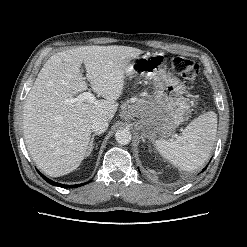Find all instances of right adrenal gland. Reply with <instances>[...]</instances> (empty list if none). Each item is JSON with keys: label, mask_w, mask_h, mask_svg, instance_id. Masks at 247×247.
<instances>
[{"label": "right adrenal gland", "mask_w": 247, "mask_h": 247, "mask_svg": "<svg viewBox=\"0 0 247 247\" xmlns=\"http://www.w3.org/2000/svg\"><path fill=\"white\" fill-rule=\"evenodd\" d=\"M100 134H98V133H94L93 135H92V138H91V141H90V143H89V147H88V155L92 152V150H93V148H94V138H95V136H99Z\"/></svg>", "instance_id": "obj_1"}]
</instances>
